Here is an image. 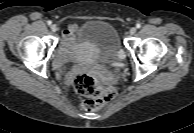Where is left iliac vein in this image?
<instances>
[{
    "label": "left iliac vein",
    "mask_w": 194,
    "mask_h": 133,
    "mask_svg": "<svg viewBox=\"0 0 194 133\" xmlns=\"http://www.w3.org/2000/svg\"><path fill=\"white\" fill-rule=\"evenodd\" d=\"M129 32H130L131 35L135 34L136 33V28L132 27Z\"/></svg>",
    "instance_id": "1"
}]
</instances>
